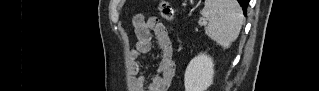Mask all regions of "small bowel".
I'll use <instances>...</instances> for the list:
<instances>
[{"instance_id":"small-bowel-1","label":"small bowel","mask_w":319,"mask_h":91,"mask_svg":"<svg viewBox=\"0 0 319 91\" xmlns=\"http://www.w3.org/2000/svg\"><path fill=\"white\" fill-rule=\"evenodd\" d=\"M133 24L136 34L135 53L148 54L152 48L153 38L160 49L157 72L151 76L149 82L145 76L139 75L140 64H132L133 91H168L175 73L174 44L168 29L158 18L143 15H136Z\"/></svg>"}]
</instances>
